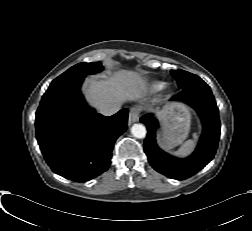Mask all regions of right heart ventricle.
I'll return each mask as SVG.
<instances>
[{"label": "right heart ventricle", "instance_id": "obj_1", "mask_svg": "<svg viewBox=\"0 0 252 231\" xmlns=\"http://www.w3.org/2000/svg\"><path fill=\"white\" fill-rule=\"evenodd\" d=\"M162 86V83L161 82H153L152 84H151V88L152 89H158V88H160Z\"/></svg>", "mask_w": 252, "mask_h": 231}]
</instances>
